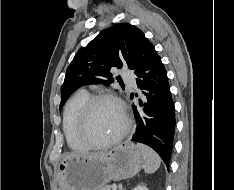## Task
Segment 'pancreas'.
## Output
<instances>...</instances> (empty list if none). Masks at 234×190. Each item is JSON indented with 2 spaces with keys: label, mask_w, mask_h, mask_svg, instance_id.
Returning a JSON list of instances; mask_svg holds the SVG:
<instances>
[{
  "label": "pancreas",
  "mask_w": 234,
  "mask_h": 190,
  "mask_svg": "<svg viewBox=\"0 0 234 190\" xmlns=\"http://www.w3.org/2000/svg\"><path fill=\"white\" fill-rule=\"evenodd\" d=\"M110 189H111V186L106 185L102 187L100 190H110Z\"/></svg>",
  "instance_id": "1"
}]
</instances>
